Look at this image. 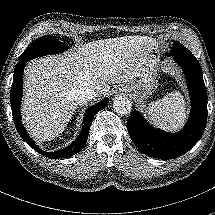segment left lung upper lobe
Wrapping results in <instances>:
<instances>
[{"mask_svg": "<svg viewBox=\"0 0 215 215\" xmlns=\"http://www.w3.org/2000/svg\"><path fill=\"white\" fill-rule=\"evenodd\" d=\"M182 49H186L183 45H181L179 42L174 41L173 47L171 48V51H179Z\"/></svg>", "mask_w": 215, "mask_h": 215, "instance_id": "obj_1", "label": "left lung upper lobe"}]
</instances>
